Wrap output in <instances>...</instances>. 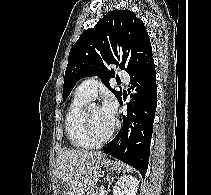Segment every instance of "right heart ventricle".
I'll use <instances>...</instances> for the list:
<instances>
[{"label": "right heart ventricle", "mask_w": 211, "mask_h": 195, "mask_svg": "<svg viewBox=\"0 0 211 195\" xmlns=\"http://www.w3.org/2000/svg\"><path fill=\"white\" fill-rule=\"evenodd\" d=\"M90 99L75 92L65 116V130L71 144L78 149H89L94 145L87 139L83 126V112Z\"/></svg>", "instance_id": "1"}]
</instances>
